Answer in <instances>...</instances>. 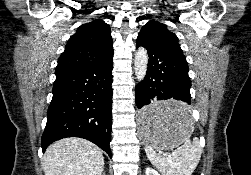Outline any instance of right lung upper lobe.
Masks as SVG:
<instances>
[{"label": "right lung upper lobe", "instance_id": "obj_1", "mask_svg": "<svg viewBox=\"0 0 251 175\" xmlns=\"http://www.w3.org/2000/svg\"><path fill=\"white\" fill-rule=\"evenodd\" d=\"M113 57L111 30L102 19L81 25L68 40L55 73L106 63Z\"/></svg>", "mask_w": 251, "mask_h": 175}]
</instances>
